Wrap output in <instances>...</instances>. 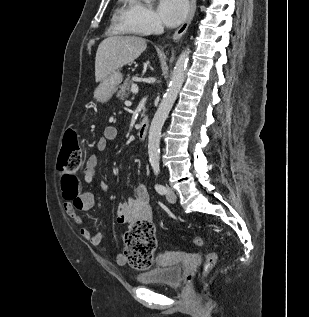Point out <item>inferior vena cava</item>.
<instances>
[{"mask_svg": "<svg viewBox=\"0 0 309 317\" xmlns=\"http://www.w3.org/2000/svg\"><path fill=\"white\" fill-rule=\"evenodd\" d=\"M163 30H164L163 26H162L160 23H158V24L156 25V32H157V33H162Z\"/></svg>", "mask_w": 309, "mask_h": 317, "instance_id": "inferior-vena-cava-1", "label": "inferior vena cava"}]
</instances>
